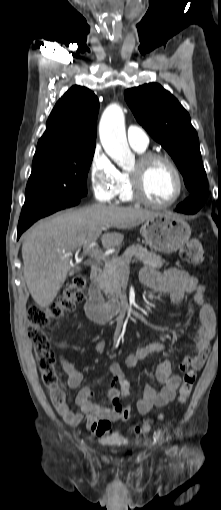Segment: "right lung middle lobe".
Wrapping results in <instances>:
<instances>
[{"instance_id": "dd1d6c3e", "label": "right lung middle lobe", "mask_w": 221, "mask_h": 510, "mask_svg": "<svg viewBox=\"0 0 221 510\" xmlns=\"http://www.w3.org/2000/svg\"><path fill=\"white\" fill-rule=\"evenodd\" d=\"M94 151L86 147L34 158L24 205L44 211L80 201L87 195Z\"/></svg>"}]
</instances>
